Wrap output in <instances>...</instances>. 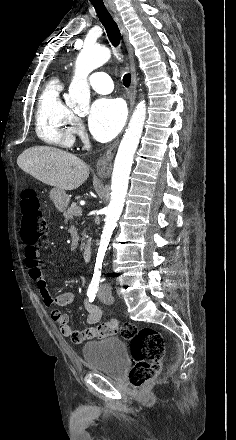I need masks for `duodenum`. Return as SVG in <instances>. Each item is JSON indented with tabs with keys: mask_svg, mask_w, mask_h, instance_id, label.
<instances>
[{
	"mask_svg": "<svg viewBox=\"0 0 236 440\" xmlns=\"http://www.w3.org/2000/svg\"><path fill=\"white\" fill-rule=\"evenodd\" d=\"M92 256V245L90 241H87L83 247V261L88 262Z\"/></svg>",
	"mask_w": 236,
	"mask_h": 440,
	"instance_id": "1",
	"label": "duodenum"
}]
</instances>
